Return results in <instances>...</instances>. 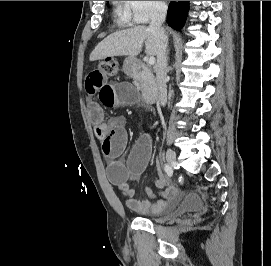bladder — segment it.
Returning a JSON list of instances; mask_svg holds the SVG:
<instances>
[{
    "mask_svg": "<svg viewBox=\"0 0 271 266\" xmlns=\"http://www.w3.org/2000/svg\"><path fill=\"white\" fill-rule=\"evenodd\" d=\"M201 201L195 194H190L184 197L180 206L170 212L169 215L156 216V215H139L141 218L148 219L152 222H165L174 216H182L187 213H193L201 210Z\"/></svg>",
    "mask_w": 271,
    "mask_h": 266,
    "instance_id": "obj_1",
    "label": "bladder"
}]
</instances>
